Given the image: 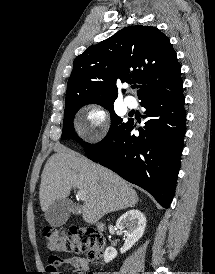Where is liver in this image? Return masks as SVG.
Wrapping results in <instances>:
<instances>
[{
	"mask_svg": "<svg viewBox=\"0 0 215 274\" xmlns=\"http://www.w3.org/2000/svg\"><path fill=\"white\" fill-rule=\"evenodd\" d=\"M72 187L86 192L82 217L89 224L138 202L136 191L117 174L72 150L60 148L47 160L41 175L42 211L57 199L67 198Z\"/></svg>",
	"mask_w": 215,
	"mask_h": 274,
	"instance_id": "obj_1",
	"label": "liver"
}]
</instances>
